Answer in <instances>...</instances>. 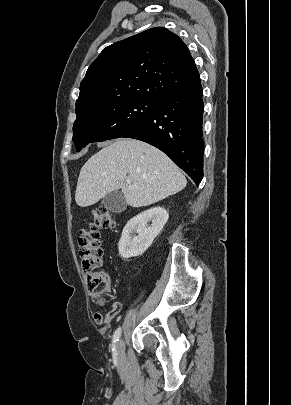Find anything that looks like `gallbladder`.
<instances>
[{
	"mask_svg": "<svg viewBox=\"0 0 291 405\" xmlns=\"http://www.w3.org/2000/svg\"><path fill=\"white\" fill-rule=\"evenodd\" d=\"M104 206L112 212H122L126 209L127 203L120 191H113L103 198Z\"/></svg>",
	"mask_w": 291,
	"mask_h": 405,
	"instance_id": "bac80fb5",
	"label": "gallbladder"
}]
</instances>
